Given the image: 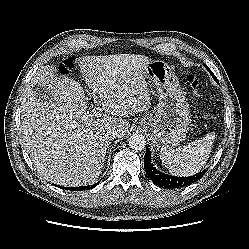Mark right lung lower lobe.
Returning a JSON list of instances; mask_svg holds the SVG:
<instances>
[{
    "mask_svg": "<svg viewBox=\"0 0 249 249\" xmlns=\"http://www.w3.org/2000/svg\"><path fill=\"white\" fill-rule=\"evenodd\" d=\"M97 184H98V183H95V184H93V185H91V186H85V187H70L69 190H73V191L87 190V189H91V188L97 186ZM60 188H62V187L60 186ZM65 189H68V188L65 187Z\"/></svg>",
    "mask_w": 249,
    "mask_h": 249,
    "instance_id": "98d812e1",
    "label": "right lung lower lobe"
}]
</instances>
